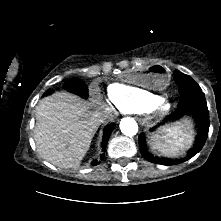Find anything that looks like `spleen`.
<instances>
[{"label": "spleen", "mask_w": 221, "mask_h": 221, "mask_svg": "<svg viewBox=\"0 0 221 221\" xmlns=\"http://www.w3.org/2000/svg\"><path fill=\"white\" fill-rule=\"evenodd\" d=\"M151 146L153 150L161 152L166 156H175L189 147L193 141L190 131V123L177 122L172 126L166 127L162 133L152 136Z\"/></svg>", "instance_id": "spleen-1"}]
</instances>
